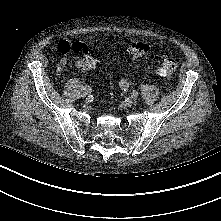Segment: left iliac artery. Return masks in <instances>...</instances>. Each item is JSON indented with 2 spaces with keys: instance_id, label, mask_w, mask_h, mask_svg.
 <instances>
[{
  "instance_id": "left-iliac-artery-1",
  "label": "left iliac artery",
  "mask_w": 221,
  "mask_h": 221,
  "mask_svg": "<svg viewBox=\"0 0 221 221\" xmlns=\"http://www.w3.org/2000/svg\"><path fill=\"white\" fill-rule=\"evenodd\" d=\"M120 87H121V90H122L123 94L127 93L128 87H129L128 81L126 79H122L120 81Z\"/></svg>"
}]
</instances>
